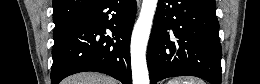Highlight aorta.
Instances as JSON below:
<instances>
[{"mask_svg": "<svg viewBox=\"0 0 260 84\" xmlns=\"http://www.w3.org/2000/svg\"><path fill=\"white\" fill-rule=\"evenodd\" d=\"M158 0H143L131 37L133 84H149L146 49Z\"/></svg>", "mask_w": 260, "mask_h": 84, "instance_id": "obj_1", "label": "aorta"}]
</instances>
